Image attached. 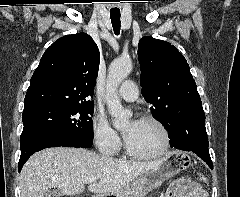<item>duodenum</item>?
Returning a JSON list of instances; mask_svg holds the SVG:
<instances>
[{
    "instance_id": "410a0bca",
    "label": "duodenum",
    "mask_w": 240,
    "mask_h": 197,
    "mask_svg": "<svg viewBox=\"0 0 240 197\" xmlns=\"http://www.w3.org/2000/svg\"><path fill=\"white\" fill-rule=\"evenodd\" d=\"M93 197H115V196H114V195L106 194V195H102V196H93Z\"/></svg>"
}]
</instances>
